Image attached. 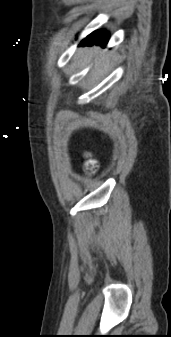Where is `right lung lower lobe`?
<instances>
[{
    "label": "right lung lower lobe",
    "instance_id": "98d812e1",
    "mask_svg": "<svg viewBox=\"0 0 171 337\" xmlns=\"http://www.w3.org/2000/svg\"><path fill=\"white\" fill-rule=\"evenodd\" d=\"M109 39V34L104 30H99L91 33L80 42V46L100 45L105 47Z\"/></svg>",
    "mask_w": 171,
    "mask_h": 337
}]
</instances>
